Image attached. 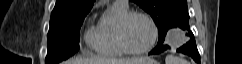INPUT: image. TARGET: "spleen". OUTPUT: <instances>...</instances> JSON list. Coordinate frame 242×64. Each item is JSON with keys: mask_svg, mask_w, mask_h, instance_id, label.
Masks as SVG:
<instances>
[{"mask_svg": "<svg viewBox=\"0 0 242 64\" xmlns=\"http://www.w3.org/2000/svg\"><path fill=\"white\" fill-rule=\"evenodd\" d=\"M165 62L166 64H188L186 60L173 55H167Z\"/></svg>", "mask_w": 242, "mask_h": 64, "instance_id": "obj_1", "label": "spleen"}]
</instances>
